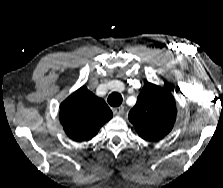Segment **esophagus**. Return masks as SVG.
Segmentation results:
<instances>
[{
	"instance_id": "obj_1",
	"label": "esophagus",
	"mask_w": 223,
	"mask_h": 188,
	"mask_svg": "<svg viewBox=\"0 0 223 188\" xmlns=\"http://www.w3.org/2000/svg\"><path fill=\"white\" fill-rule=\"evenodd\" d=\"M113 113L117 116H121L124 113V106H119L113 109Z\"/></svg>"
}]
</instances>
